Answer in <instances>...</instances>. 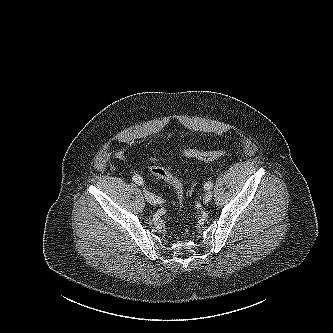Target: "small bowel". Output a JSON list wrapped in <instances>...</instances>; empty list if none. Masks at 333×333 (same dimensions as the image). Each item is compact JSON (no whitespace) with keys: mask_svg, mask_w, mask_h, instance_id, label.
Listing matches in <instances>:
<instances>
[{"mask_svg":"<svg viewBox=\"0 0 333 333\" xmlns=\"http://www.w3.org/2000/svg\"><path fill=\"white\" fill-rule=\"evenodd\" d=\"M113 156L119 160H127L126 147L119 148L113 153Z\"/></svg>","mask_w":333,"mask_h":333,"instance_id":"obj_1","label":"small bowel"}]
</instances>
